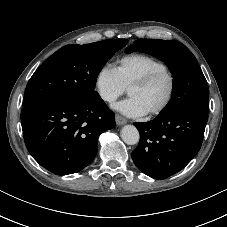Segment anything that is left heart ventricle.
Returning <instances> with one entry per match:
<instances>
[{
    "label": "left heart ventricle",
    "instance_id": "1",
    "mask_svg": "<svg viewBox=\"0 0 227 227\" xmlns=\"http://www.w3.org/2000/svg\"><path fill=\"white\" fill-rule=\"evenodd\" d=\"M169 88V78L166 75H161L145 87L130 89L128 95L135 98L145 113H148L158 108L164 102Z\"/></svg>",
    "mask_w": 227,
    "mask_h": 227
}]
</instances>
